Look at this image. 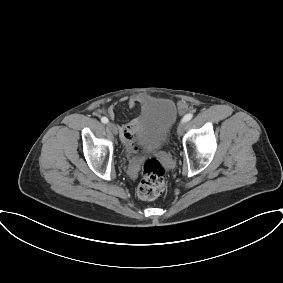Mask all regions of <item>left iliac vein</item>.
Listing matches in <instances>:
<instances>
[{"label": "left iliac vein", "mask_w": 283, "mask_h": 283, "mask_svg": "<svg viewBox=\"0 0 283 283\" xmlns=\"http://www.w3.org/2000/svg\"><path fill=\"white\" fill-rule=\"evenodd\" d=\"M184 129H185V122H181L178 126V129H177V133L179 136H181L184 132Z\"/></svg>", "instance_id": "left-iliac-vein-1"}]
</instances>
